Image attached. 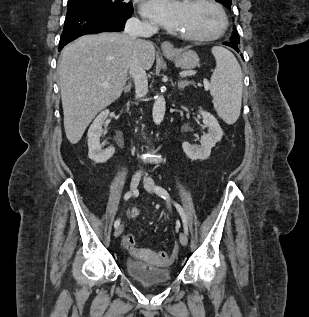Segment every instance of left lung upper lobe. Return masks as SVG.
<instances>
[{"label": "left lung upper lobe", "mask_w": 309, "mask_h": 317, "mask_svg": "<svg viewBox=\"0 0 309 317\" xmlns=\"http://www.w3.org/2000/svg\"><path fill=\"white\" fill-rule=\"evenodd\" d=\"M220 3H222L225 7H227L228 9H231V5H232V0H216ZM234 32L232 34V37H231V42L238 45L240 44V41H239V35L237 33V30L235 29L234 27Z\"/></svg>", "instance_id": "obj_1"}]
</instances>
